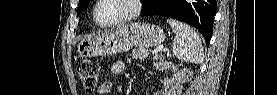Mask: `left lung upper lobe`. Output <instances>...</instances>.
I'll list each match as a JSON object with an SVG mask.
<instances>
[{
    "mask_svg": "<svg viewBox=\"0 0 277 95\" xmlns=\"http://www.w3.org/2000/svg\"><path fill=\"white\" fill-rule=\"evenodd\" d=\"M90 0H79V4L77 7V14H80L89 4ZM144 5L142 6V10L151 2V0H144Z\"/></svg>",
    "mask_w": 277,
    "mask_h": 95,
    "instance_id": "obj_1",
    "label": "left lung upper lobe"
}]
</instances>
